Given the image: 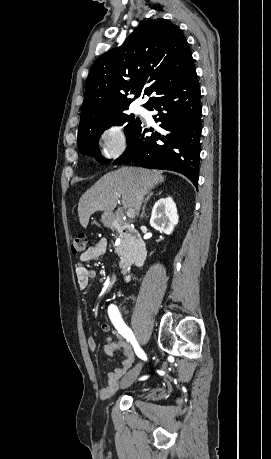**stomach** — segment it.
I'll return each mask as SVG.
<instances>
[{"instance_id":"0dacf381","label":"stomach","mask_w":271,"mask_h":459,"mask_svg":"<svg viewBox=\"0 0 271 459\" xmlns=\"http://www.w3.org/2000/svg\"><path fill=\"white\" fill-rule=\"evenodd\" d=\"M112 220H113V214H110V212H105V214H103L102 216L103 224H106V226H110Z\"/></svg>"}]
</instances>
